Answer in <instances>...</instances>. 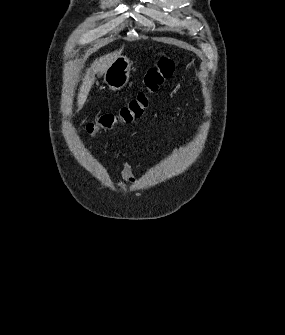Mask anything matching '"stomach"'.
<instances>
[{
	"label": "stomach",
	"mask_w": 285,
	"mask_h": 335,
	"mask_svg": "<svg viewBox=\"0 0 285 335\" xmlns=\"http://www.w3.org/2000/svg\"><path fill=\"white\" fill-rule=\"evenodd\" d=\"M131 66V60L127 56H118L116 60H113L103 76L110 90H121L126 86L129 82Z\"/></svg>",
	"instance_id": "0dacf381"
}]
</instances>
